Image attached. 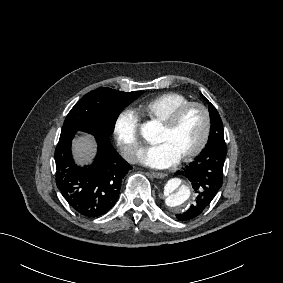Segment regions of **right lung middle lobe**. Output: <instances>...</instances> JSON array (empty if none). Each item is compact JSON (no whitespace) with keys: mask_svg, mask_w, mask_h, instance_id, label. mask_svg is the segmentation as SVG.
Returning a JSON list of instances; mask_svg holds the SVG:
<instances>
[{"mask_svg":"<svg viewBox=\"0 0 283 283\" xmlns=\"http://www.w3.org/2000/svg\"><path fill=\"white\" fill-rule=\"evenodd\" d=\"M142 94L143 91L121 92L110 88L93 90L71 109L62 132L83 131L109 139L120 112Z\"/></svg>","mask_w":283,"mask_h":283,"instance_id":"right-lung-middle-lobe-1","label":"right lung middle lobe"}]
</instances>
